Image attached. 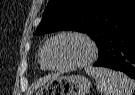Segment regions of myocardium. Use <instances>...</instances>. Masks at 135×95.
I'll return each instance as SVG.
<instances>
[{
  "instance_id": "1",
  "label": "myocardium",
  "mask_w": 135,
  "mask_h": 95,
  "mask_svg": "<svg viewBox=\"0 0 135 95\" xmlns=\"http://www.w3.org/2000/svg\"><path fill=\"white\" fill-rule=\"evenodd\" d=\"M63 37H77V38L82 39L89 48L88 57L86 59H84L83 61L70 65V66L53 65L50 61L51 47L55 41H57L58 39L63 38ZM97 53H98L97 45L90 36H88L87 34H85L83 32H80V31H65V32H61V33L53 36L48 41V44L46 46L45 53H44V60H45V65L48 69L57 70V71H71V70H76V69L87 66L89 63H91L96 58Z\"/></svg>"
}]
</instances>
